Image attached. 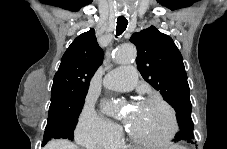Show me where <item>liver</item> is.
<instances>
[{
	"label": "liver",
	"instance_id": "liver-1",
	"mask_svg": "<svg viewBox=\"0 0 227 149\" xmlns=\"http://www.w3.org/2000/svg\"><path fill=\"white\" fill-rule=\"evenodd\" d=\"M45 149H78V147L66 140H55L47 144Z\"/></svg>",
	"mask_w": 227,
	"mask_h": 149
}]
</instances>
